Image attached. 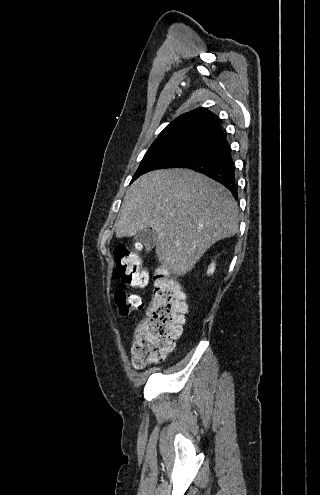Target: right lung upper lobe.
I'll list each match as a JSON object with an SVG mask.
<instances>
[{
  "label": "right lung upper lobe",
  "instance_id": "1",
  "mask_svg": "<svg viewBox=\"0 0 320 495\" xmlns=\"http://www.w3.org/2000/svg\"><path fill=\"white\" fill-rule=\"evenodd\" d=\"M222 132V127L214 113L206 108H198L184 113L167 125L152 145L184 139L209 140Z\"/></svg>",
  "mask_w": 320,
  "mask_h": 495
}]
</instances>
